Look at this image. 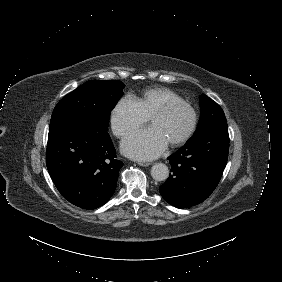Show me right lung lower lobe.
I'll return each mask as SVG.
<instances>
[{
  "mask_svg": "<svg viewBox=\"0 0 282 282\" xmlns=\"http://www.w3.org/2000/svg\"><path fill=\"white\" fill-rule=\"evenodd\" d=\"M46 164L65 199L88 210L110 199L123 166L109 134L79 119L49 129Z\"/></svg>",
  "mask_w": 282,
  "mask_h": 282,
  "instance_id": "right-lung-lower-lobe-1",
  "label": "right lung lower lobe"
}]
</instances>
